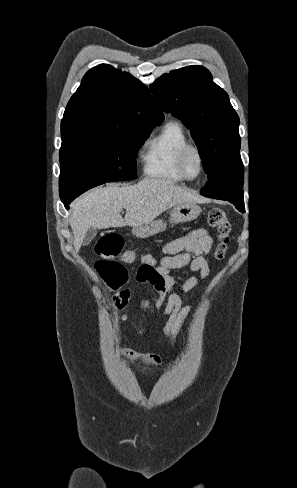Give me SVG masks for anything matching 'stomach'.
<instances>
[{"instance_id": "1", "label": "stomach", "mask_w": 297, "mask_h": 488, "mask_svg": "<svg viewBox=\"0 0 297 488\" xmlns=\"http://www.w3.org/2000/svg\"><path fill=\"white\" fill-rule=\"evenodd\" d=\"M201 212V207L195 202L178 204L170 212V222L172 224L190 222L198 218ZM165 228L166 224L164 221L158 219L147 224L133 227L132 233L139 238H148L164 231Z\"/></svg>"}]
</instances>
